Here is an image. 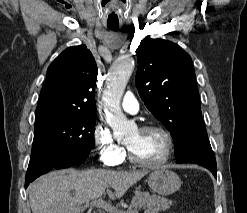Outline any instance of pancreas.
Here are the masks:
<instances>
[{"instance_id":"1","label":"pancreas","mask_w":247,"mask_h":213,"mask_svg":"<svg viewBox=\"0 0 247 213\" xmlns=\"http://www.w3.org/2000/svg\"><path fill=\"white\" fill-rule=\"evenodd\" d=\"M173 204L172 200L150 194L149 192L135 191V196L132 198L129 208L125 213H138L141 208H156L157 210L165 211Z\"/></svg>"}]
</instances>
